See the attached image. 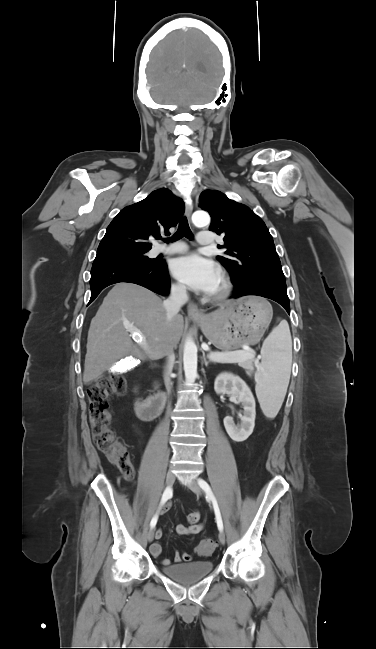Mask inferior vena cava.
<instances>
[{
	"label": "inferior vena cava",
	"instance_id": "inferior-vena-cava-1",
	"mask_svg": "<svg viewBox=\"0 0 376 649\" xmlns=\"http://www.w3.org/2000/svg\"><path fill=\"white\" fill-rule=\"evenodd\" d=\"M188 301V295L186 291V287L184 285H174L171 287L170 291V296L168 299H166L163 302L164 308L166 310V316L168 320H171L178 312L180 311L181 307ZM174 361V353L173 350H171L167 354V365H166V371H165V383L166 387L170 388L169 384V374H170V368L173 364Z\"/></svg>",
	"mask_w": 376,
	"mask_h": 649
}]
</instances>
